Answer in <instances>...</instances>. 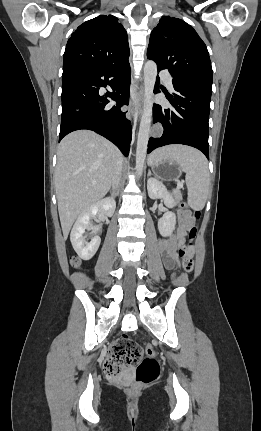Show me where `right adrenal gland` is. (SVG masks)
I'll use <instances>...</instances> for the list:
<instances>
[{"instance_id": "2a0ac1e0", "label": "right adrenal gland", "mask_w": 261, "mask_h": 431, "mask_svg": "<svg viewBox=\"0 0 261 431\" xmlns=\"http://www.w3.org/2000/svg\"><path fill=\"white\" fill-rule=\"evenodd\" d=\"M118 194H119V189H118L116 192H114L113 190H112V192H111V195H112L113 197H116Z\"/></svg>"}]
</instances>
